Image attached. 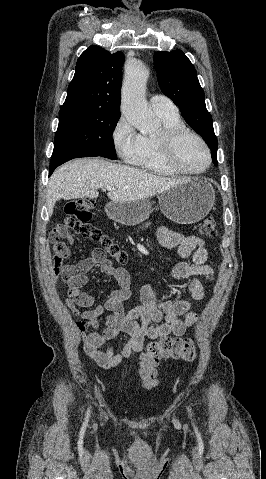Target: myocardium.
Returning a JSON list of instances; mask_svg holds the SVG:
<instances>
[{
    "mask_svg": "<svg viewBox=\"0 0 266 479\" xmlns=\"http://www.w3.org/2000/svg\"><path fill=\"white\" fill-rule=\"evenodd\" d=\"M185 136H192L203 146L207 155V164L200 170H187L180 165L176 157L178 142ZM161 155L165 163L174 171L185 175H201L205 173L212 164V153L204 138L197 132L186 127L164 128L158 136Z\"/></svg>",
    "mask_w": 266,
    "mask_h": 479,
    "instance_id": "f54148a6",
    "label": "myocardium"
}]
</instances>
